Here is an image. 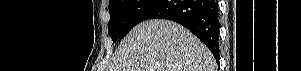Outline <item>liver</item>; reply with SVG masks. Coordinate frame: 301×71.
Returning <instances> with one entry per match:
<instances>
[{"label": "liver", "instance_id": "1", "mask_svg": "<svg viewBox=\"0 0 301 71\" xmlns=\"http://www.w3.org/2000/svg\"><path fill=\"white\" fill-rule=\"evenodd\" d=\"M108 71H216V61L186 28L148 20L123 39Z\"/></svg>", "mask_w": 301, "mask_h": 71}]
</instances>
